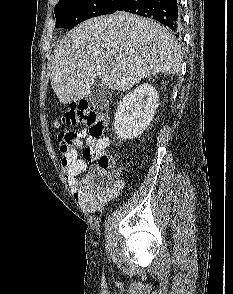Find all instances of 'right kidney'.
<instances>
[{"label": "right kidney", "mask_w": 233, "mask_h": 294, "mask_svg": "<svg viewBox=\"0 0 233 294\" xmlns=\"http://www.w3.org/2000/svg\"><path fill=\"white\" fill-rule=\"evenodd\" d=\"M158 99L157 91L148 83L137 86L123 96L115 113L116 135L123 140L141 135L156 113Z\"/></svg>", "instance_id": "1"}]
</instances>
